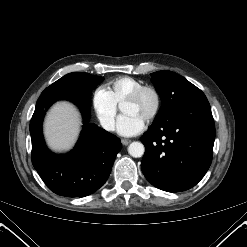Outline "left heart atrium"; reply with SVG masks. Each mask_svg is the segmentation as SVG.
I'll list each match as a JSON object with an SVG mask.
<instances>
[{"label":"left heart atrium","instance_id":"left-heart-atrium-1","mask_svg":"<svg viewBox=\"0 0 247 247\" xmlns=\"http://www.w3.org/2000/svg\"><path fill=\"white\" fill-rule=\"evenodd\" d=\"M145 127V120L136 114H124L117 121V132L122 136H134Z\"/></svg>","mask_w":247,"mask_h":247}]
</instances>
